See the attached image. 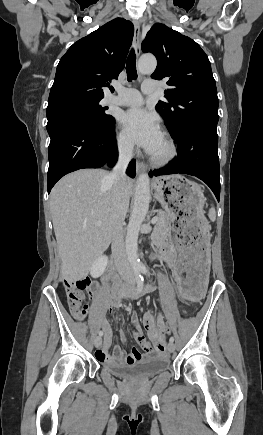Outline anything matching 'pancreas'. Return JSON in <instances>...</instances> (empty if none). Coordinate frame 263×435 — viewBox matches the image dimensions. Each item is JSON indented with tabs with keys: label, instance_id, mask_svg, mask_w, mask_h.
<instances>
[{
	"label": "pancreas",
	"instance_id": "1",
	"mask_svg": "<svg viewBox=\"0 0 263 435\" xmlns=\"http://www.w3.org/2000/svg\"><path fill=\"white\" fill-rule=\"evenodd\" d=\"M174 220V214L169 212H161L158 215V220L155 223L154 231L151 238L155 244L162 242L171 230V223Z\"/></svg>",
	"mask_w": 263,
	"mask_h": 435
}]
</instances>
